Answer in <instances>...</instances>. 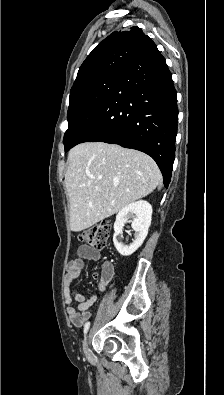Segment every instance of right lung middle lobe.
Returning a JSON list of instances; mask_svg holds the SVG:
<instances>
[{
  "label": "right lung middle lobe",
  "mask_w": 224,
  "mask_h": 395,
  "mask_svg": "<svg viewBox=\"0 0 224 395\" xmlns=\"http://www.w3.org/2000/svg\"><path fill=\"white\" fill-rule=\"evenodd\" d=\"M121 74L101 77L70 93L69 127L64 135L65 152L72 148L92 118L99 112L115 89Z\"/></svg>",
  "instance_id": "dd1d6c3e"
}]
</instances>
